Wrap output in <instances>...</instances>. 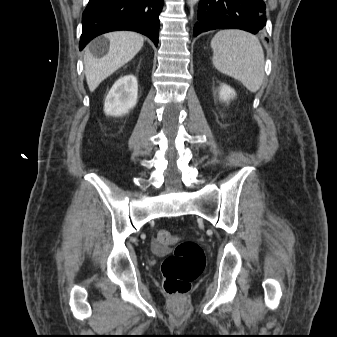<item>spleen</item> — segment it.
Here are the masks:
<instances>
[{"label": "spleen", "mask_w": 337, "mask_h": 337, "mask_svg": "<svg viewBox=\"0 0 337 337\" xmlns=\"http://www.w3.org/2000/svg\"><path fill=\"white\" fill-rule=\"evenodd\" d=\"M213 65L257 92L264 79V52L259 39L241 30H222L211 40Z\"/></svg>", "instance_id": "spleen-1"}]
</instances>
